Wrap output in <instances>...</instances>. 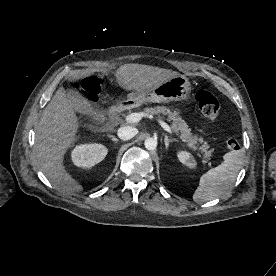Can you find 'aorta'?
Returning <instances> with one entry per match:
<instances>
[{
    "label": "aorta",
    "instance_id": "obj_1",
    "mask_svg": "<svg viewBox=\"0 0 276 276\" xmlns=\"http://www.w3.org/2000/svg\"><path fill=\"white\" fill-rule=\"evenodd\" d=\"M144 145L147 150H155L157 147V140L154 138H147L144 142Z\"/></svg>",
    "mask_w": 276,
    "mask_h": 276
}]
</instances>
